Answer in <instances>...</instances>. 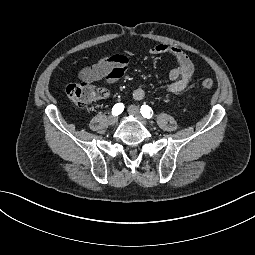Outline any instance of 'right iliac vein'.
<instances>
[{"label": "right iliac vein", "instance_id": "63e3f726", "mask_svg": "<svg viewBox=\"0 0 255 255\" xmlns=\"http://www.w3.org/2000/svg\"><path fill=\"white\" fill-rule=\"evenodd\" d=\"M117 121H118V118L114 115L109 116V118H108V123L111 126L115 125L117 123Z\"/></svg>", "mask_w": 255, "mask_h": 255}]
</instances>
